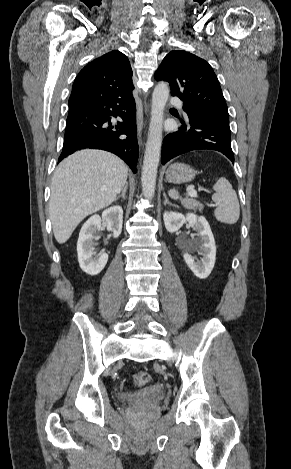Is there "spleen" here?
<instances>
[{
	"label": "spleen",
	"mask_w": 291,
	"mask_h": 469,
	"mask_svg": "<svg viewBox=\"0 0 291 469\" xmlns=\"http://www.w3.org/2000/svg\"><path fill=\"white\" fill-rule=\"evenodd\" d=\"M213 189L215 193L212 195V200L217 206L214 211L215 218L226 224L236 223L240 216V205L232 185L226 178L221 177ZM169 195L173 199L178 198V192L175 190H170Z\"/></svg>",
	"instance_id": "3e777b00"
}]
</instances>
